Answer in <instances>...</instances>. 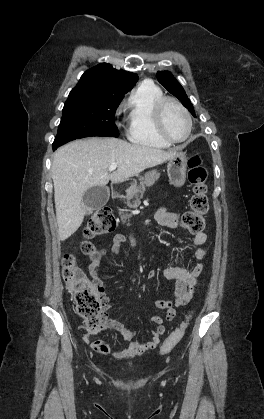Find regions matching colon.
I'll use <instances>...</instances> for the list:
<instances>
[{"mask_svg": "<svg viewBox=\"0 0 264 419\" xmlns=\"http://www.w3.org/2000/svg\"><path fill=\"white\" fill-rule=\"evenodd\" d=\"M188 180L192 186L190 209L182 215L181 225L190 233L201 232L204 217L208 212L207 171L198 156H193L188 163ZM116 228V220L107 208L99 209L91 217L83 230L86 238L112 232ZM84 254L92 260H98L99 254L95 246L86 241L82 244ZM63 278L67 290L72 294L78 315L83 319L89 332L98 330L102 325V311L105 303L97 292L92 281L75 267L72 254H66L63 260ZM189 317L187 318V320ZM187 320L175 328L159 349L160 355L168 354L183 338Z\"/></svg>", "mask_w": 264, "mask_h": 419, "instance_id": "5ec220e1", "label": "colon"}]
</instances>
